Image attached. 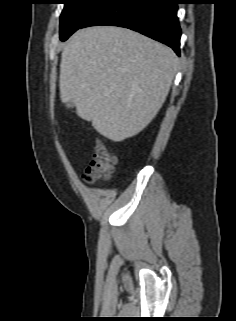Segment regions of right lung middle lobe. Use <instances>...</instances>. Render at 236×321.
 I'll list each match as a JSON object with an SVG mask.
<instances>
[{"mask_svg":"<svg viewBox=\"0 0 236 321\" xmlns=\"http://www.w3.org/2000/svg\"><path fill=\"white\" fill-rule=\"evenodd\" d=\"M108 0H63L60 17V39L65 41Z\"/></svg>","mask_w":236,"mask_h":321,"instance_id":"dd1d6c3e","label":"right lung middle lobe"}]
</instances>
